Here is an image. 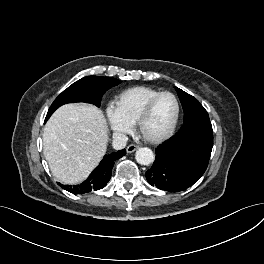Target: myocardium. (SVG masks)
I'll return each instance as SVG.
<instances>
[{
	"label": "myocardium",
	"mask_w": 264,
	"mask_h": 264,
	"mask_svg": "<svg viewBox=\"0 0 264 264\" xmlns=\"http://www.w3.org/2000/svg\"><path fill=\"white\" fill-rule=\"evenodd\" d=\"M165 95L171 96L175 101L176 113H175L174 119H173L170 127L164 133H162L158 136H146L142 132L143 125H144L145 121L148 119V117L150 116L151 111H152L155 103L158 101L159 98H161L162 96H165ZM179 116H180V103H179L177 96L172 92L163 91V92H160V93L156 94L155 96H153L145 104L144 108L142 109L141 113L139 114V116L136 120V128H137L138 133L142 136V138L144 140H146L150 143H154V144L161 143L173 135V133L177 127L178 121H179Z\"/></svg>",
	"instance_id": "1"
}]
</instances>
